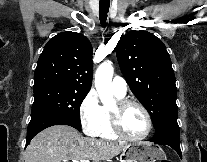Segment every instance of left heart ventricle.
<instances>
[{"label": "left heart ventricle", "mask_w": 207, "mask_h": 162, "mask_svg": "<svg viewBox=\"0 0 207 162\" xmlns=\"http://www.w3.org/2000/svg\"><path fill=\"white\" fill-rule=\"evenodd\" d=\"M120 125L126 135L139 136L146 130L147 123L144 113L138 107L130 106L121 114Z\"/></svg>", "instance_id": "obj_1"}]
</instances>
